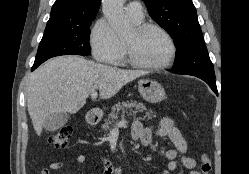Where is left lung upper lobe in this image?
Segmentation results:
<instances>
[{"label":"left lung upper lobe","instance_id":"1","mask_svg":"<svg viewBox=\"0 0 249 174\" xmlns=\"http://www.w3.org/2000/svg\"><path fill=\"white\" fill-rule=\"evenodd\" d=\"M143 1L151 18L174 39L177 51L172 70L180 74L215 75L192 1Z\"/></svg>","mask_w":249,"mask_h":174}]
</instances>
